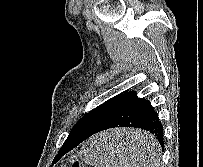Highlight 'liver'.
Here are the masks:
<instances>
[{"instance_id": "1", "label": "liver", "mask_w": 203, "mask_h": 167, "mask_svg": "<svg viewBox=\"0 0 203 167\" xmlns=\"http://www.w3.org/2000/svg\"><path fill=\"white\" fill-rule=\"evenodd\" d=\"M143 133L144 132L140 130L134 129H118L109 133H102L101 135H109V137L114 138V143L116 145L113 148L116 151L119 160L127 163V167H140L143 164L138 161L139 153L135 149L134 145L138 143L137 139Z\"/></svg>"}]
</instances>
